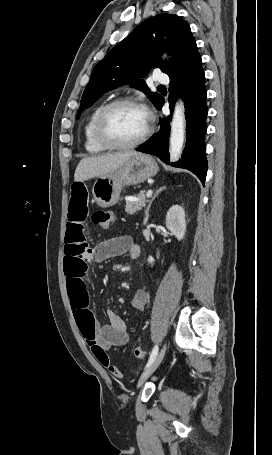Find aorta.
Returning a JSON list of instances; mask_svg holds the SVG:
<instances>
[{
    "label": "aorta",
    "instance_id": "obj_1",
    "mask_svg": "<svg viewBox=\"0 0 272 455\" xmlns=\"http://www.w3.org/2000/svg\"><path fill=\"white\" fill-rule=\"evenodd\" d=\"M185 135L184 105L181 100L175 104L174 114L171 122L170 135V160L176 161L182 151Z\"/></svg>",
    "mask_w": 272,
    "mask_h": 455
}]
</instances>
